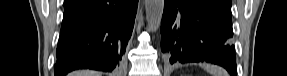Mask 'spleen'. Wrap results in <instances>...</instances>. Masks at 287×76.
Here are the masks:
<instances>
[{
    "label": "spleen",
    "instance_id": "obj_1",
    "mask_svg": "<svg viewBox=\"0 0 287 76\" xmlns=\"http://www.w3.org/2000/svg\"><path fill=\"white\" fill-rule=\"evenodd\" d=\"M206 71H208L212 76H227L228 73L221 67L214 65H205Z\"/></svg>",
    "mask_w": 287,
    "mask_h": 76
}]
</instances>
